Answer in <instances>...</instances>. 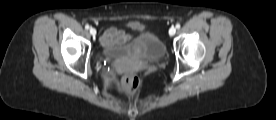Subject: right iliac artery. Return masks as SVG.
I'll return each mask as SVG.
<instances>
[{
	"label": "right iliac artery",
	"mask_w": 276,
	"mask_h": 120,
	"mask_svg": "<svg viewBox=\"0 0 276 120\" xmlns=\"http://www.w3.org/2000/svg\"><path fill=\"white\" fill-rule=\"evenodd\" d=\"M89 28H90V26H89V25H85V29H87V30H88Z\"/></svg>",
	"instance_id": "right-iliac-artery-1"
}]
</instances>
